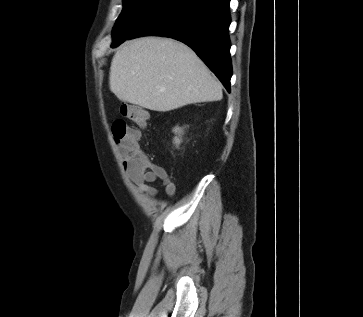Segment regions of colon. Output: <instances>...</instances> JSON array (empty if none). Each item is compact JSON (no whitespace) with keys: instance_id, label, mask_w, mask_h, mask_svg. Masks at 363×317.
<instances>
[{"instance_id":"colon-1","label":"colon","mask_w":363,"mask_h":317,"mask_svg":"<svg viewBox=\"0 0 363 317\" xmlns=\"http://www.w3.org/2000/svg\"><path fill=\"white\" fill-rule=\"evenodd\" d=\"M120 113L122 118L115 120L112 125L113 140L119 147L125 167L141 168L146 157L139 151L140 129L146 126L148 113L133 104H122ZM127 120L135 123L136 127L129 126Z\"/></svg>"}]
</instances>
